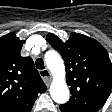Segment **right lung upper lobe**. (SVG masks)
Instances as JSON below:
<instances>
[{"label":"right lung upper lobe","mask_w":112,"mask_h":112,"mask_svg":"<svg viewBox=\"0 0 112 112\" xmlns=\"http://www.w3.org/2000/svg\"><path fill=\"white\" fill-rule=\"evenodd\" d=\"M24 42L14 33L0 37V112H30L47 90L33 60L20 55Z\"/></svg>","instance_id":"cb5924a9"}]
</instances>
